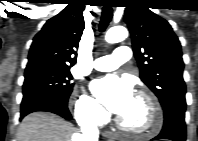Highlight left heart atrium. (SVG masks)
<instances>
[{"label": "left heart atrium", "mask_w": 198, "mask_h": 141, "mask_svg": "<svg viewBox=\"0 0 198 141\" xmlns=\"http://www.w3.org/2000/svg\"><path fill=\"white\" fill-rule=\"evenodd\" d=\"M91 90L111 113L119 116L129 108L134 100L131 82L116 75H107L93 81Z\"/></svg>", "instance_id": "39dd6f15"}]
</instances>
